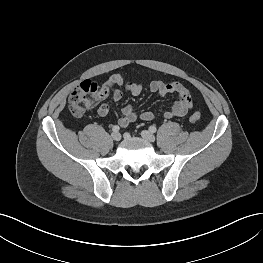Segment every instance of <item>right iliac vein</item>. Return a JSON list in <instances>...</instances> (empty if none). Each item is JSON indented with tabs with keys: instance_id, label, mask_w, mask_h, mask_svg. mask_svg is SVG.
<instances>
[{
	"instance_id": "obj_1",
	"label": "right iliac vein",
	"mask_w": 263,
	"mask_h": 263,
	"mask_svg": "<svg viewBox=\"0 0 263 263\" xmlns=\"http://www.w3.org/2000/svg\"><path fill=\"white\" fill-rule=\"evenodd\" d=\"M111 137H112L113 140L119 141L121 139V134L119 132H113L111 134Z\"/></svg>"
}]
</instances>
